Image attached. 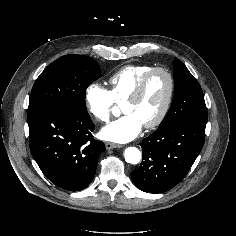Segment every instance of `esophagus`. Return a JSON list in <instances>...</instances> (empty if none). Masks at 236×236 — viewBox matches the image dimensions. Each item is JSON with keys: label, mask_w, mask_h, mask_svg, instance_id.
Returning a JSON list of instances; mask_svg holds the SVG:
<instances>
[{"label": "esophagus", "mask_w": 236, "mask_h": 236, "mask_svg": "<svg viewBox=\"0 0 236 236\" xmlns=\"http://www.w3.org/2000/svg\"><path fill=\"white\" fill-rule=\"evenodd\" d=\"M105 145H106V149H107V150L120 147V145H118V144H116V143H112V142H106Z\"/></svg>", "instance_id": "obj_1"}]
</instances>
